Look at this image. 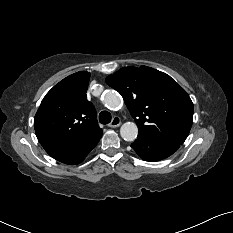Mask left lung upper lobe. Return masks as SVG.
<instances>
[{"label":"left lung upper lobe","mask_w":233,"mask_h":233,"mask_svg":"<svg viewBox=\"0 0 233 233\" xmlns=\"http://www.w3.org/2000/svg\"><path fill=\"white\" fill-rule=\"evenodd\" d=\"M106 83L123 97L138 135L181 145L191 129L193 103L169 75L140 66L121 68Z\"/></svg>","instance_id":"5c2ea615"}]
</instances>
